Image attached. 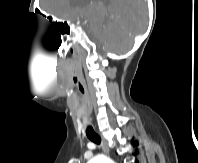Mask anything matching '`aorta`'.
I'll use <instances>...</instances> for the list:
<instances>
[{"instance_id":"aorta-1","label":"aorta","mask_w":198,"mask_h":163,"mask_svg":"<svg viewBox=\"0 0 198 163\" xmlns=\"http://www.w3.org/2000/svg\"><path fill=\"white\" fill-rule=\"evenodd\" d=\"M88 163H112V161L104 155H98L89 160Z\"/></svg>"}]
</instances>
